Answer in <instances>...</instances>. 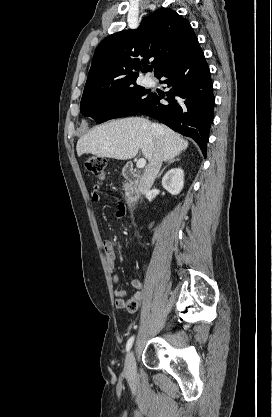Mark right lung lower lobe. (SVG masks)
<instances>
[{"label":"right lung lower lobe","instance_id":"right-lung-lower-lobe-1","mask_svg":"<svg viewBox=\"0 0 272 417\" xmlns=\"http://www.w3.org/2000/svg\"><path fill=\"white\" fill-rule=\"evenodd\" d=\"M157 78H164L162 82L171 87L170 91L166 95L152 93L150 100L136 114L151 116L193 138L206 156L215 97L208 64L199 43ZM161 99L167 102H160Z\"/></svg>","mask_w":272,"mask_h":417}]
</instances>
